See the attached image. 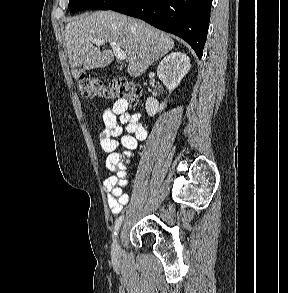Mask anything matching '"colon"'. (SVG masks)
I'll use <instances>...</instances> for the list:
<instances>
[{
  "label": "colon",
  "instance_id": "colon-1",
  "mask_svg": "<svg viewBox=\"0 0 288 293\" xmlns=\"http://www.w3.org/2000/svg\"><path fill=\"white\" fill-rule=\"evenodd\" d=\"M78 87L81 95L89 100L123 99L130 105H136L139 101V89L124 80H118L109 85H105L95 76L83 75L79 78Z\"/></svg>",
  "mask_w": 288,
  "mask_h": 293
}]
</instances>
